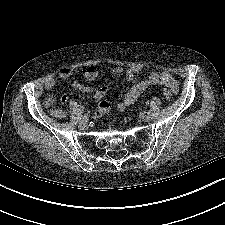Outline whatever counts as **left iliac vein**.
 Segmentation results:
<instances>
[{
    "instance_id": "1",
    "label": "left iliac vein",
    "mask_w": 225,
    "mask_h": 225,
    "mask_svg": "<svg viewBox=\"0 0 225 225\" xmlns=\"http://www.w3.org/2000/svg\"><path fill=\"white\" fill-rule=\"evenodd\" d=\"M152 119V115L151 114H145V115H142V120L143 121H150Z\"/></svg>"
}]
</instances>
